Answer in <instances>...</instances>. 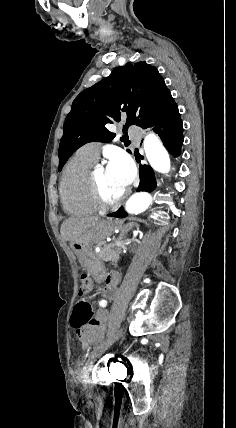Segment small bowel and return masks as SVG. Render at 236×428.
<instances>
[{
  "label": "small bowel",
  "instance_id": "1",
  "mask_svg": "<svg viewBox=\"0 0 236 428\" xmlns=\"http://www.w3.org/2000/svg\"><path fill=\"white\" fill-rule=\"evenodd\" d=\"M119 283L120 275L118 273L110 272L107 275L105 280V287L102 292L104 298L100 300V310L95 315L96 322L86 327L85 329H82L80 332H76L78 338L85 348H87L91 343L103 335L107 322V313L104 308L107 304L105 306H101L100 303L102 301L107 303L115 297L118 291Z\"/></svg>",
  "mask_w": 236,
  "mask_h": 428
}]
</instances>
